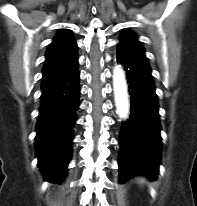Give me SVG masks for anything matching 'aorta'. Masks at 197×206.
<instances>
[{"mask_svg":"<svg viewBox=\"0 0 197 206\" xmlns=\"http://www.w3.org/2000/svg\"><path fill=\"white\" fill-rule=\"evenodd\" d=\"M113 88L116 113L121 119H126L129 113V103L124 72L120 65H116L113 71Z\"/></svg>","mask_w":197,"mask_h":206,"instance_id":"aorta-1","label":"aorta"}]
</instances>
